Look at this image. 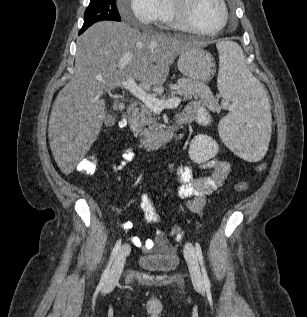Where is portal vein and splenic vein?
Segmentation results:
<instances>
[{
  "mask_svg": "<svg viewBox=\"0 0 307 317\" xmlns=\"http://www.w3.org/2000/svg\"><path fill=\"white\" fill-rule=\"evenodd\" d=\"M120 85L141 100L145 105L157 112L164 109L176 108L181 103V98L179 97H173L167 100L158 99L155 95L148 93L142 87L137 85L132 78L122 81Z\"/></svg>",
  "mask_w": 307,
  "mask_h": 317,
  "instance_id": "portal-vein-and-splenic-vein-1",
  "label": "portal vein and splenic vein"
}]
</instances>
